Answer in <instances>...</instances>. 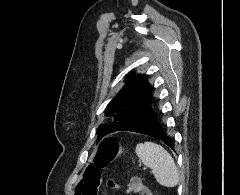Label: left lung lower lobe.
Listing matches in <instances>:
<instances>
[{
    "label": "left lung lower lobe",
    "mask_w": 240,
    "mask_h": 195,
    "mask_svg": "<svg viewBox=\"0 0 240 195\" xmlns=\"http://www.w3.org/2000/svg\"><path fill=\"white\" fill-rule=\"evenodd\" d=\"M122 130L150 135L162 140L169 147L173 148V142L159 124L157 115L152 110L151 103L132 122L123 127Z\"/></svg>",
    "instance_id": "obj_1"
}]
</instances>
